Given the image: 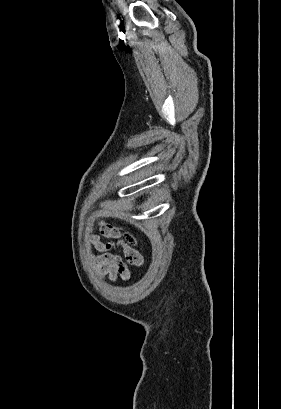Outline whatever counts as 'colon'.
Returning a JSON list of instances; mask_svg holds the SVG:
<instances>
[{"mask_svg": "<svg viewBox=\"0 0 281 409\" xmlns=\"http://www.w3.org/2000/svg\"><path fill=\"white\" fill-rule=\"evenodd\" d=\"M125 242H126V247L124 249H135L134 245H135V240L131 235H127L125 238Z\"/></svg>", "mask_w": 281, "mask_h": 409, "instance_id": "colon-1", "label": "colon"}]
</instances>
